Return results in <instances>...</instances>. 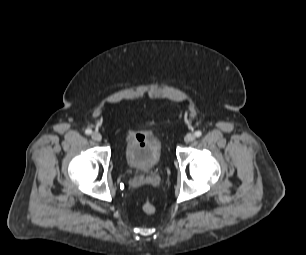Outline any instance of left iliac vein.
<instances>
[{
  "label": "left iliac vein",
  "mask_w": 306,
  "mask_h": 255,
  "mask_svg": "<svg viewBox=\"0 0 306 255\" xmlns=\"http://www.w3.org/2000/svg\"><path fill=\"white\" fill-rule=\"evenodd\" d=\"M195 140V135L193 134V133H188L186 136H185V138H184V141L186 142V143H190V142H192V141H194Z\"/></svg>",
  "instance_id": "1"
}]
</instances>
